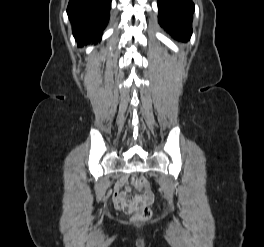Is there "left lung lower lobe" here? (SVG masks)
Returning a JSON list of instances; mask_svg holds the SVG:
<instances>
[{
	"instance_id": "0a47b994",
	"label": "left lung lower lobe",
	"mask_w": 264,
	"mask_h": 247,
	"mask_svg": "<svg viewBox=\"0 0 264 247\" xmlns=\"http://www.w3.org/2000/svg\"><path fill=\"white\" fill-rule=\"evenodd\" d=\"M158 22L172 37L187 42L192 34L194 4L191 0H158Z\"/></svg>"
}]
</instances>
